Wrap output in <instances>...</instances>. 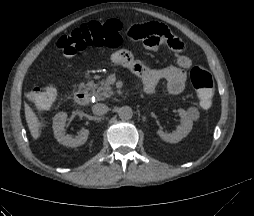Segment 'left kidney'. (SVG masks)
<instances>
[{"label":"left kidney","instance_id":"1","mask_svg":"<svg viewBox=\"0 0 254 216\" xmlns=\"http://www.w3.org/2000/svg\"><path fill=\"white\" fill-rule=\"evenodd\" d=\"M177 112L181 118V123L177 126L175 131H173L172 133H165L163 130L157 131L159 137L165 142L178 143L183 138H185L192 130L193 121L188 116L187 112L184 109H178Z\"/></svg>","mask_w":254,"mask_h":216}]
</instances>
